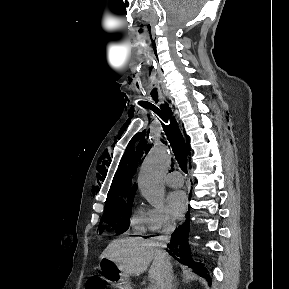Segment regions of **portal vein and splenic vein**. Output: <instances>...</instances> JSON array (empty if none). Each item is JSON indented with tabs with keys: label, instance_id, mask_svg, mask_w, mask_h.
I'll use <instances>...</instances> for the list:
<instances>
[{
	"label": "portal vein and splenic vein",
	"instance_id": "18ae733b",
	"mask_svg": "<svg viewBox=\"0 0 289 289\" xmlns=\"http://www.w3.org/2000/svg\"><path fill=\"white\" fill-rule=\"evenodd\" d=\"M148 289H157V287L155 285H152Z\"/></svg>",
	"mask_w": 289,
	"mask_h": 289
}]
</instances>
